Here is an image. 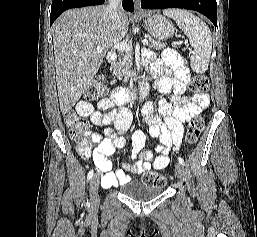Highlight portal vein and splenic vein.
Returning a JSON list of instances; mask_svg holds the SVG:
<instances>
[{"instance_id":"1","label":"portal vein and splenic vein","mask_w":257,"mask_h":237,"mask_svg":"<svg viewBox=\"0 0 257 237\" xmlns=\"http://www.w3.org/2000/svg\"><path fill=\"white\" fill-rule=\"evenodd\" d=\"M142 43H143V45H147L148 41L143 40ZM114 48L117 50H121V51H131V49H132V47L129 44L123 43V42L115 44ZM101 49L102 48L100 46L97 47V50H101Z\"/></svg>"}]
</instances>
